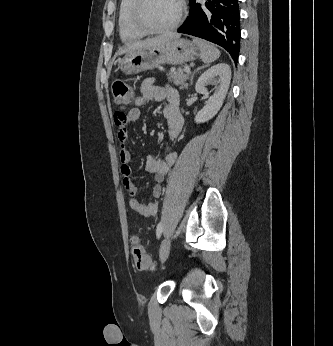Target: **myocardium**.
<instances>
[{
	"label": "myocardium",
	"instance_id": "obj_1",
	"mask_svg": "<svg viewBox=\"0 0 333 346\" xmlns=\"http://www.w3.org/2000/svg\"><path fill=\"white\" fill-rule=\"evenodd\" d=\"M147 2L148 0H136L133 7V12H132V21L134 26L140 31H142L144 34L167 33L175 29L181 22L184 15V11H185L184 0H177L178 8H177L176 16L174 17L173 21L169 25L165 27H161V28H156L151 26L146 20L145 7Z\"/></svg>",
	"mask_w": 333,
	"mask_h": 346
}]
</instances>
